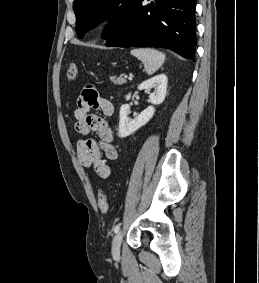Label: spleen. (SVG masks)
Listing matches in <instances>:
<instances>
[{"label":"spleen","mask_w":259,"mask_h":283,"mask_svg":"<svg viewBox=\"0 0 259 283\" xmlns=\"http://www.w3.org/2000/svg\"><path fill=\"white\" fill-rule=\"evenodd\" d=\"M130 53L142 61L149 75L155 73L165 61V54L155 49L138 48L131 50Z\"/></svg>","instance_id":"obj_1"}]
</instances>
